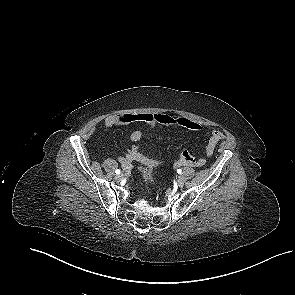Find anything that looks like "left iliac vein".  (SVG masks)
Masks as SVG:
<instances>
[{
	"label": "left iliac vein",
	"mask_w": 295,
	"mask_h": 295,
	"mask_svg": "<svg viewBox=\"0 0 295 295\" xmlns=\"http://www.w3.org/2000/svg\"><path fill=\"white\" fill-rule=\"evenodd\" d=\"M177 186L178 187H183L184 186V179L179 177L177 180Z\"/></svg>",
	"instance_id": "4c4485c4"
}]
</instances>
